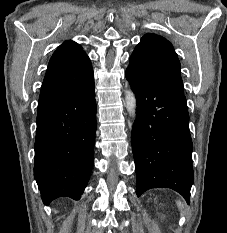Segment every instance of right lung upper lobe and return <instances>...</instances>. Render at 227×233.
<instances>
[{
    "instance_id": "obj_1",
    "label": "right lung upper lobe",
    "mask_w": 227,
    "mask_h": 233,
    "mask_svg": "<svg viewBox=\"0 0 227 233\" xmlns=\"http://www.w3.org/2000/svg\"><path fill=\"white\" fill-rule=\"evenodd\" d=\"M91 61L82 47L65 41L53 53L43 80L38 111L74 94L94 79Z\"/></svg>"
}]
</instances>
